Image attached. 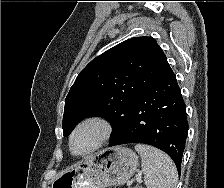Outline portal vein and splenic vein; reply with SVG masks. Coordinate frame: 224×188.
<instances>
[{"label": "portal vein and splenic vein", "instance_id": "1", "mask_svg": "<svg viewBox=\"0 0 224 188\" xmlns=\"http://www.w3.org/2000/svg\"><path fill=\"white\" fill-rule=\"evenodd\" d=\"M136 180H137V181H141V176H138V177L136 178ZM131 184H132L131 181H129V182L127 183L128 186L131 185Z\"/></svg>", "mask_w": 224, "mask_h": 188}]
</instances>
